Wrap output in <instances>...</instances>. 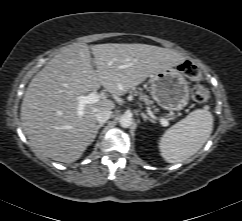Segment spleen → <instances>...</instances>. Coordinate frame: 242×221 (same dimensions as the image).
Segmentation results:
<instances>
[{
    "instance_id": "1",
    "label": "spleen",
    "mask_w": 242,
    "mask_h": 221,
    "mask_svg": "<svg viewBox=\"0 0 242 221\" xmlns=\"http://www.w3.org/2000/svg\"><path fill=\"white\" fill-rule=\"evenodd\" d=\"M213 130V116L204 109L192 111L164 132L159 141L161 156L168 163L184 161L208 140Z\"/></svg>"
}]
</instances>
